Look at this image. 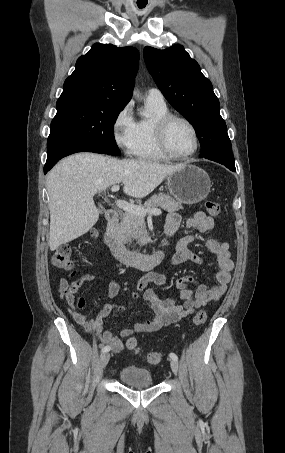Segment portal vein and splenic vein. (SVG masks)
I'll return each mask as SVG.
<instances>
[{
	"instance_id": "18ae733b",
	"label": "portal vein and splenic vein",
	"mask_w": 285,
	"mask_h": 453,
	"mask_svg": "<svg viewBox=\"0 0 285 453\" xmlns=\"http://www.w3.org/2000/svg\"><path fill=\"white\" fill-rule=\"evenodd\" d=\"M119 185H113L111 187V191L112 192H116L119 190ZM116 205L124 210L125 212H128V213H131V214H135V215H139V216H146V214H152V215H160L162 212L160 209H157V208H153V209H145L141 206H138V205H135V204H131L129 202H126L124 200H117L116 202Z\"/></svg>"
}]
</instances>
